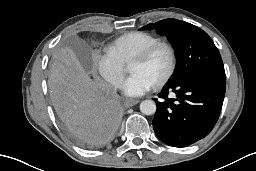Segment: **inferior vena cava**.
Here are the masks:
<instances>
[{
  "label": "inferior vena cava",
  "instance_id": "obj_1",
  "mask_svg": "<svg viewBox=\"0 0 256 171\" xmlns=\"http://www.w3.org/2000/svg\"><path fill=\"white\" fill-rule=\"evenodd\" d=\"M115 86H116V87H120V83L117 82V83L115 84Z\"/></svg>",
  "mask_w": 256,
  "mask_h": 171
}]
</instances>
